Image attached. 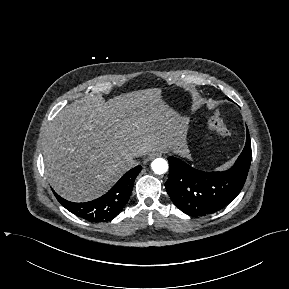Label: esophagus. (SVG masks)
Masks as SVG:
<instances>
[{"label":"esophagus","instance_id":"34e87169","mask_svg":"<svg viewBox=\"0 0 289 289\" xmlns=\"http://www.w3.org/2000/svg\"><path fill=\"white\" fill-rule=\"evenodd\" d=\"M159 156H161V153H158V152H153V153H151L150 155H149V159H154V158H156V157H159Z\"/></svg>","mask_w":289,"mask_h":289}]
</instances>
